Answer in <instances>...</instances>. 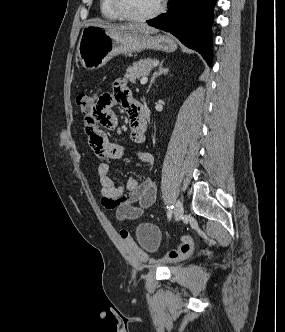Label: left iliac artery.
<instances>
[{
  "mask_svg": "<svg viewBox=\"0 0 285 332\" xmlns=\"http://www.w3.org/2000/svg\"><path fill=\"white\" fill-rule=\"evenodd\" d=\"M173 207H174L173 205L167 206V216H168V219H170L171 216H172Z\"/></svg>",
  "mask_w": 285,
  "mask_h": 332,
  "instance_id": "1",
  "label": "left iliac artery"
}]
</instances>
